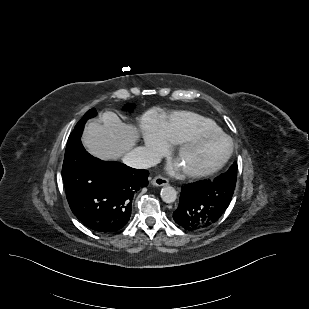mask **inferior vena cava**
<instances>
[{
    "instance_id": "1",
    "label": "inferior vena cava",
    "mask_w": 309,
    "mask_h": 309,
    "mask_svg": "<svg viewBox=\"0 0 309 309\" xmlns=\"http://www.w3.org/2000/svg\"><path fill=\"white\" fill-rule=\"evenodd\" d=\"M159 157L152 151L138 147L128 152L123 157V162L136 169L150 168L159 163Z\"/></svg>"
}]
</instances>
